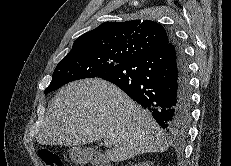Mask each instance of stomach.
I'll return each instance as SVG.
<instances>
[{"label":"stomach","mask_w":231,"mask_h":166,"mask_svg":"<svg viewBox=\"0 0 231 166\" xmlns=\"http://www.w3.org/2000/svg\"><path fill=\"white\" fill-rule=\"evenodd\" d=\"M70 157L73 161L77 163H85L87 161V156L85 149L81 147H73L70 149Z\"/></svg>","instance_id":"stomach-1"}]
</instances>
